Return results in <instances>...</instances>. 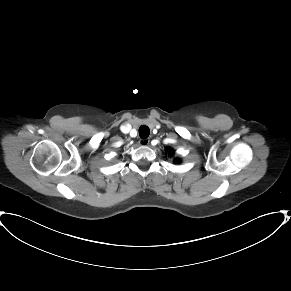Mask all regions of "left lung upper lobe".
I'll use <instances>...</instances> for the list:
<instances>
[{
    "instance_id": "1",
    "label": "left lung upper lobe",
    "mask_w": 291,
    "mask_h": 291,
    "mask_svg": "<svg viewBox=\"0 0 291 291\" xmlns=\"http://www.w3.org/2000/svg\"><path fill=\"white\" fill-rule=\"evenodd\" d=\"M171 152H173V151H172V149H169V155H170V153H171ZM174 162H175V163H179V162H180V160H178V159H175V160H174Z\"/></svg>"
}]
</instances>
